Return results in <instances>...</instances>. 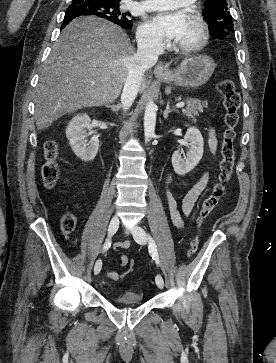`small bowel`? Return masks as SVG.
Masks as SVG:
<instances>
[{"label": "small bowel", "mask_w": 276, "mask_h": 363, "mask_svg": "<svg viewBox=\"0 0 276 363\" xmlns=\"http://www.w3.org/2000/svg\"><path fill=\"white\" fill-rule=\"evenodd\" d=\"M208 147L211 154L215 155L217 149V137L216 131L213 126L208 127ZM171 182V176L168 175L166 179L167 185ZM210 182V177L208 172H204L200 180L190 188V190L185 194L182 199L180 208L178 203L174 198L171 191L167 188L166 199L169 211V216L173 226L177 229H183L185 226L184 217H191L194 212L195 203L201 196V194L206 190ZM130 246L129 240H124L117 242L114 249L120 252L122 249H126ZM121 266H126L128 263V258L125 254L120 253ZM106 276L112 280H117L119 274L115 271H107Z\"/></svg>", "instance_id": "1"}]
</instances>
